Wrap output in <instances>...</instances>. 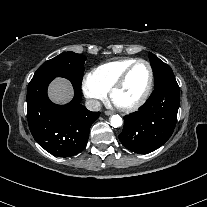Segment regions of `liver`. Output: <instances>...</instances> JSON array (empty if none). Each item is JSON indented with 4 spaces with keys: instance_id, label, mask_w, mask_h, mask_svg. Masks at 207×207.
Wrapping results in <instances>:
<instances>
[{
    "instance_id": "1",
    "label": "liver",
    "mask_w": 207,
    "mask_h": 207,
    "mask_svg": "<svg viewBox=\"0 0 207 207\" xmlns=\"http://www.w3.org/2000/svg\"><path fill=\"white\" fill-rule=\"evenodd\" d=\"M48 96L56 104H65L73 97L71 83L64 78H55L48 87Z\"/></svg>"
}]
</instances>
